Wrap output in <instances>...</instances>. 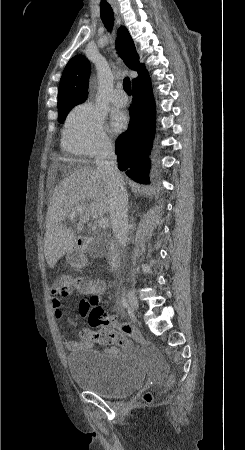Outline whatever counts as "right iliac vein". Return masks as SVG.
I'll use <instances>...</instances> for the list:
<instances>
[{"instance_id":"obj_1","label":"right iliac vein","mask_w":245,"mask_h":450,"mask_svg":"<svg viewBox=\"0 0 245 450\" xmlns=\"http://www.w3.org/2000/svg\"><path fill=\"white\" fill-rule=\"evenodd\" d=\"M127 297H128V302H129V306H130L131 310L133 312H137L139 310V302H138L136 295L134 294V292L131 289L128 290Z\"/></svg>"}]
</instances>
